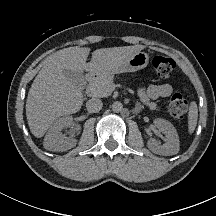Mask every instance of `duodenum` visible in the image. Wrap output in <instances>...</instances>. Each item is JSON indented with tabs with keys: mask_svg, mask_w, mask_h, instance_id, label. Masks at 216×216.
<instances>
[{
	"mask_svg": "<svg viewBox=\"0 0 216 216\" xmlns=\"http://www.w3.org/2000/svg\"><path fill=\"white\" fill-rule=\"evenodd\" d=\"M93 78H94L93 74L86 75V78H85L86 84H88Z\"/></svg>",
	"mask_w": 216,
	"mask_h": 216,
	"instance_id": "obj_1",
	"label": "duodenum"
}]
</instances>
